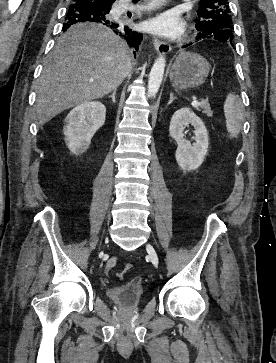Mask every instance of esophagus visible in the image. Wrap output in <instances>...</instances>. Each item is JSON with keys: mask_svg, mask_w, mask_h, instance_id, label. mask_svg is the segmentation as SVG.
Wrapping results in <instances>:
<instances>
[{"mask_svg": "<svg viewBox=\"0 0 276 363\" xmlns=\"http://www.w3.org/2000/svg\"><path fill=\"white\" fill-rule=\"evenodd\" d=\"M154 47L158 53L163 55L168 54L171 51V47L168 43L157 38L154 39Z\"/></svg>", "mask_w": 276, "mask_h": 363, "instance_id": "esophagus-1", "label": "esophagus"}]
</instances>
